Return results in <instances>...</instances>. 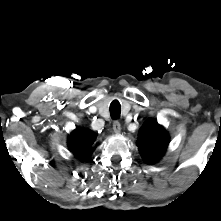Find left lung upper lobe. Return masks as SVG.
Returning <instances> with one entry per match:
<instances>
[{
  "label": "left lung upper lobe",
  "instance_id": "1",
  "mask_svg": "<svg viewBox=\"0 0 221 221\" xmlns=\"http://www.w3.org/2000/svg\"><path fill=\"white\" fill-rule=\"evenodd\" d=\"M169 143L165 129L157 122L146 121L139 132L137 145L146 163H155L164 154Z\"/></svg>",
  "mask_w": 221,
  "mask_h": 221
}]
</instances>
